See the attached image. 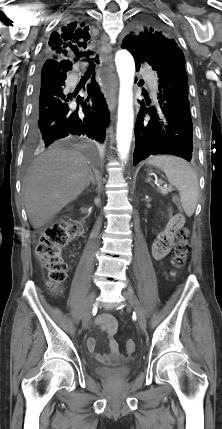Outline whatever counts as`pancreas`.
I'll return each mask as SVG.
<instances>
[{
    "label": "pancreas",
    "mask_w": 222,
    "mask_h": 429,
    "mask_svg": "<svg viewBox=\"0 0 222 429\" xmlns=\"http://www.w3.org/2000/svg\"><path fill=\"white\" fill-rule=\"evenodd\" d=\"M158 189L161 192V194H163V195H166V194H168V192L171 191V187L159 186Z\"/></svg>",
    "instance_id": "pancreas-1"
}]
</instances>
